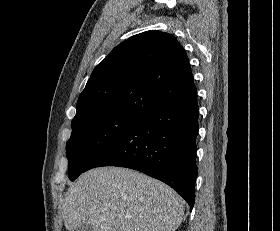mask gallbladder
Instances as JSON below:
<instances>
[{
    "mask_svg": "<svg viewBox=\"0 0 280 231\" xmlns=\"http://www.w3.org/2000/svg\"><path fill=\"white\" fill-rule=\"evenodd\" d=\"M76 231H94V229L91 227V225H85V223H81V225L76 227Z\"/></svg>",
    "mask_w": 280,
    "mask_h": 231,
    "instance_id": "bac80fb5",
    "label": "gallbladder"
}]
</instances>
